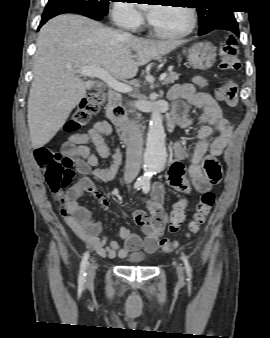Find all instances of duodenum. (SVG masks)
<instances>
[{
	"mask_svg": "<svg viewBox=\"0 0 270 338\" xmlns=\"http://www.w3.org/2000/svg\"><path fill=\"white\" fill-rule=\"evenodd\" d=\"M106 116L114 123V125L118 128L119 133L122 138H125L126 133V123L124 120L125 110L120 103L119 95L111 91L108 94V102L106 105ZM174 124L170 119L167 120V129L172 130Z\"/></svg>",
	"mask_w": 270,
	"mask_h": 338,
	"instance_id": "410a0bca",
	"label": "duodenum"
}]
</instances>
